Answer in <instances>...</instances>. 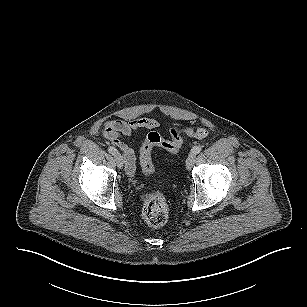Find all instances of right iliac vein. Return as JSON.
I'll return each mask as SVG.
<instances>
[{"instance_id": "63e3f726", "label": "right iliac vein", "mask_w": 307, "mask_h": 307, "mask_svg": "<svg viewBox=\"0 0 307 307\" xmlns=\"http://www.w3.org/2000/svg\"><path fill=\"white\" fill-rule=\"evenodd\" d=\"M114 157H115V161H116L117 167H118L119 169H122V168H123V165H124V161H123L122 155H121L120 153H116V154L114 155Z\"/></svg>"}]
</instances>
